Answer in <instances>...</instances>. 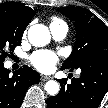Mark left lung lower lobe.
Returning <instances> with one entry per match:
<instances>
[{"label":"left lung lower lobe","instance_id":"obj_1","mask_svg":"<svg viewBox=\"0 0 108 108\" xmlns=\"http://www.w3.org/2000/svg\"><path fill=\"white\" fill-rule=\"evenodd\" d=\"M71 84L60 80L59 94L47 99L48 108H98L108 91V60L99 66L81 67Z\"/></svg>","mask_w":108,"mask_h":108}]
</instances>
